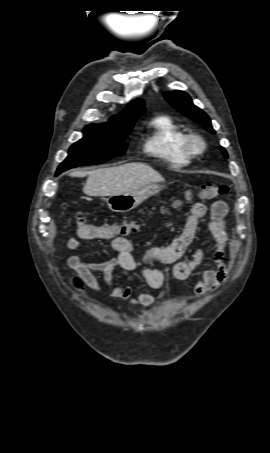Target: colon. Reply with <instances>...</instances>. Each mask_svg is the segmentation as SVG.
I'll return each mask as SVG.
<instances>
[{
    "label": "colon",
    "instance_id": "colon-1",
    "mask_svg": "<svg viewBox=\"0 0 270 453\" xmlns=\"http://www.w3.org/2000/svg\"><path fill=\"white\" fill-rule=\"evenodd\" d=\"M227 186L224 184H204L199 188V196L205 200H213L227 193ZM180 200L174 202L178 206ZM77 232L82 238L103 237L111 238L119 234H129L137 229V223L129 218L123 219L119 223L93 225L87 223L84 219L77 220Z\"/></svg>",
    "mask_w": 270,
    "mask_h": 453
}]
</instances>
